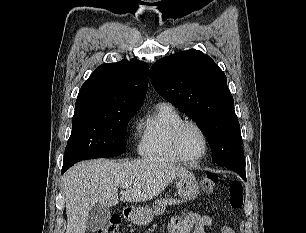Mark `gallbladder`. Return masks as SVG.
Returning a JSON list of instances; mask_svg holds the SVG:
<instances>
[{"instance_id":"1","label":"gallbladder","mask_w":306,"mask_h":233,"mask_svg":"<svg viewBox=\"0 0 306 233\" xmlns=\"http://www.w3.org/2000/svg\"><path fill=\"white\" fill-rule=\"evenodd\" d=\"M111 216L110 209L100 204L94 205L87 214L86 225L90 231H97L103 228Z\"/></svg>"}]
</instances>
